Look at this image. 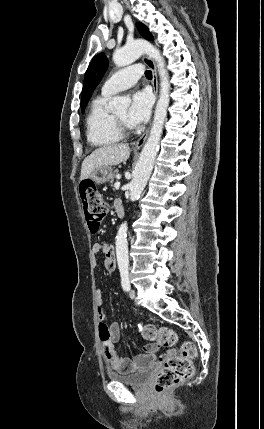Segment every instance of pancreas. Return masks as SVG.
<instances>
[{
	"instance_id": "obj_1",
	"label": "pancreas",
	"mask_w": 264,
	"mask_h": 429,
	"mask_svg": "<svg viewBox=\"0 0 264 429\" xmlns=\"http://www.w3.org/2000/svg\"><path fill=\"white\" fill-rule=\"evenodd\" d=\"M117 173H118V170H115V172H114V174L111 176V178H110V183H111V185L114 183V181L116 180V178H117Z\"/></svg>"
}]
</instances>
